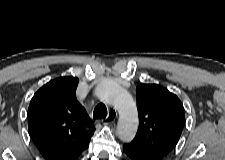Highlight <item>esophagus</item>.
Returning a JSON list of instances; mask_svg holds the SVG:
<instances>
[{
    "instance_id": "esophagus-1",
    "label": "esophagus",
    "mask_w": 225,
    "mask_h": 160,
    "mask_svg": "<svg viewBox=\"0 0 225 160\" xmlns=\"http://www.w3.org/2000/svg\"><path fill=\"white\" fill-rule=\"evenodd\" d=\"M117 117H118L117 111L115 109H111L107 118H106V120H107L106 124H110V125L114 124Z\"/></svg>"
}]
</instances>
